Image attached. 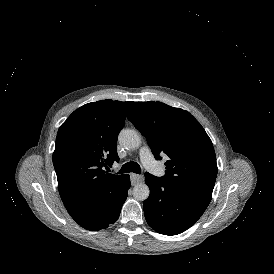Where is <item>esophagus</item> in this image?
Returning <instances> with one entry per match:
<instances>
[{
	"instance_id": "1",
	"label": "esophagus",
	"mask_w": 274,
	"mask_h": 274,
	"mask_svg": "<svg viewBox=\"0 0 274 274\" xmlns=\"http://www.w3.org/2000/svg\"><path fill=\"white\" fill-rule=\"evenodd\" d=\"M130 180L132 185H136L144 181V176L131 173Z\"/></svg>"
}]
</instances>
